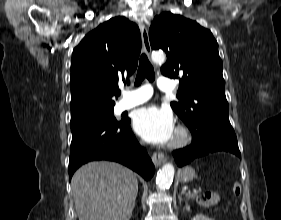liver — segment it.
Returning a JSON list of instances; mask_svg holds the SVG:
<instances>
[{"mask_svg":"<svg viewBox=\"0 0 281 220\" xmlns=\"http://www.w3.org/2000/svg\"><path fill=\"white\" fill-rule=\"evenodd\" d=\"M71 188L79 220H130L138 181L118 163L94 161L74 173Z\"/></svg>","mask_w":281,"mask_h":220,"instance_id":"6515ba94","label":"liver"}]
</instances>
